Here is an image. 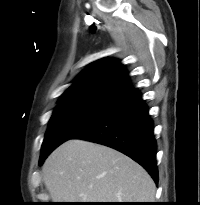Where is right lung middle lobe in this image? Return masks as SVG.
Masks as SVG:
<instances>
[{
	"label": "right lung middle lobe",
	"instance_id": "1",
	"mask_svg": "<svg viewBox=\"0 0 200 205\" xmlns=\"http://www.w3.org/2000/svg\"><path fill=\"white\" fill-rule=\"evenodd\" d=\"M114 102L102 99H74L59 102L49 122L39 164L41 165L46 156L57 146L69 140L106 112Z\"/></svg>",
	"mask_w": 200,
	"mask_h": 205
}]
</instances>
